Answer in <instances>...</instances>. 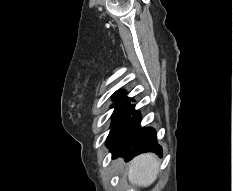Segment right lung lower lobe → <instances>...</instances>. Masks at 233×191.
I'll return each instance as SVG.
<instances>
[{
	"label": "right lung lower lobe",
	"mask_w": 233,
	"mask_h": 191,
	"mask_svg": "<svg viewBox=\"0 0 233 191\" xmlns=\"http://www.w3.org/2000/svg\"><path fill=\"white\" fill-rule=\"evenodd\" d=\"M127 100L128 108L112 127L107 138V147L113 152L114 157L123 156L126 161L143 152L161 154L162 148L157 144L155 130L140 127V113L134 110V105H130L131 99Z\"/></svg>",
	"instance_id": "98d812e1"
}]
</instances>
